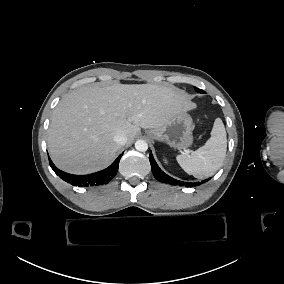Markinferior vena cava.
<instances>
[{
    "label": "inferior vena cava",
    "mask_w": 284,
    "mask_h": 284,
    "mask_svg": "<svg viewBox=\"0 0 284 284\" xmlns=\"http://www.w3.org/2000/svg\"><path fill=\"white\" fill-rule=\"evenodd\" d=\"M114 141L120 145H125L127 142V137L124 133H118L114 136Z\"/></svg>",
    "instance_id": "1"
}]
</instances>
